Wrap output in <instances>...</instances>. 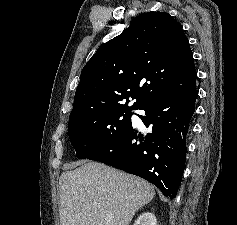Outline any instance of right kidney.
Returning <instances> with one entry per match:
<instances>
[{
  "label": "right kidney",
  "mask_w": 237,
  "mask_h": 225,
  "mask_svg": "<svg viewBox=\"0 0 237 225\" xmlns=\"http://www.w3.org/2000/svg\"><path fill=\"white\" fill-rule=\"evenodd\" d=\"M134 225H157V219L153 213L145 212L137 218Z\"/></svg>",
  "instance_id": "ca27d5eb"
}]
</instances>
